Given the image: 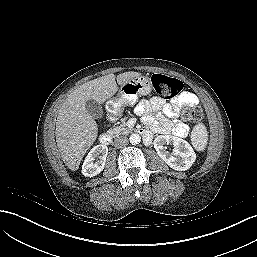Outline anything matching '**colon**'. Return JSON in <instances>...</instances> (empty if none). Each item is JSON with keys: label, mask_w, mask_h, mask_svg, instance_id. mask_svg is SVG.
<instances>
[{"label": "colon", "mask_w": 257, "mask_h": 257, "mask_svg": "<svg viewBox=\"0 0 257 257\" xmlns=\"http://www.w3.org/2000/svg\"><path fill=\"white\" fill-rule=\"evenodd\" d=\"M152 84L155 93L162 99L174 97L183 89V84L180 80L162 74H154L152 76ZM202 116V111L198 107H188L182 111V118L187 122H199Z\"/></svg>", "instance_id": "1"}]
</instances>
